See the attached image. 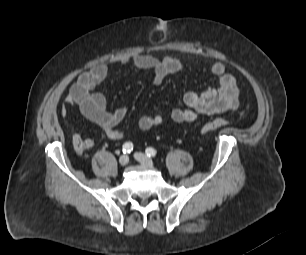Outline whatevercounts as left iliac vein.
Wrapping results in <instances>:
<instances>
[{
    "label": "left iliac vein",
    "mask_w": 306,
    "mask_h": 255,
    "mask_svg": "<svg viewBox=\"0 0 306 255\" xmlns=\"http://www.w3.org/2000/svg\"><path fill=\"white\" fill-rule=\"evenodd\" d=\"M134 157L142 165H144L146 167H149V168H153L154 167L153 161L148 156H146L145 154L137 152V153L134 154Z\"/></svg>",
    "instance_id": "4c4485c4"
}]
</instances>
